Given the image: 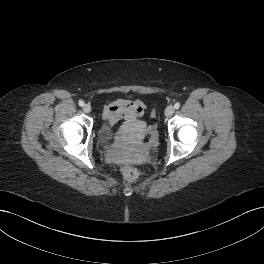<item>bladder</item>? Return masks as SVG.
<instances>
[{"instance_id":"1","label":"bladder","mask_w":264,"mask_h":264,"mask_svg":"<svg viewBox=\"0 0 264 264\" xmlns=\"http://www.w3.org/2000/svg\"><path fill=\"white\" fill-rule=\"evenodd\" d=\"M98 137L101 143L107 144L115 137L114 128L107 122H103L98 130Z\"/></svg>"}]
</instances>
